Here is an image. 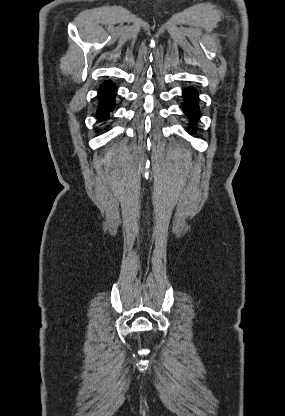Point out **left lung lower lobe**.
<instances>
[{
  "mask_svg": "<svg viewBox=\"0 0 285 416\" xmlns=\"http://www.w3.org/2000/svg\"><path fill=\"white\" fill-rule=\"evenodd\" d=\"M183 97L185 98L183 110L191 120V127L195 129V123L200 116V110L197 102L198 94L195 89L187 88L183 91Z\"/></svg>",
  "mask_w": 285,
  "mask_h": 416,
  "instance_id": "0a47b994",
  "label": "left lung lower lobe"
}]
</instances>
